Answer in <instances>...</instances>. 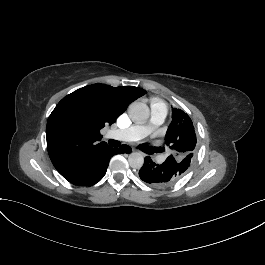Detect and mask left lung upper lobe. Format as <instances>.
<instances>
[{
  "label": "left lung upper lobe",
  "mask_w": 265,
  "mask_h": 265,
  "mask_svg": "<svg viewBox=\"0 0 265 265\" xmlns=\"http://www.w3.org/2000/svg\"><path fill=\"white\" fill-rule=\"evenodd\" d=\"M196 142V134L190 117L181 109L173 108L172 122L166 135V145L170 151L168 157L180 164L182 176L187 172L193 160Z\"/></svg>",
  "instance_id": "1"
}]
</instances>
